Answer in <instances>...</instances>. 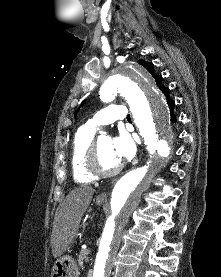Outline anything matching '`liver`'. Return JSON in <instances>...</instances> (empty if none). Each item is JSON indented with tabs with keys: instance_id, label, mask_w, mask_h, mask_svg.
<instances>
[{
	"instance_id": "obj_1",
	"label": "liver",
	"mask_w": 221,
	"mask_h": 277,
	"mask_svg": "<svg viewBox=\"0 0 221 277\" xmlns=\"http://www.w3.org/2000/svg\"><path fill=\"white\" fill-rule=\"evenodd\" d=\"M94 192L88 186L75 188L58 206L51 236L52 254L55 258L60 257L72 243Z\"/></svg>"
}]
</instances>
